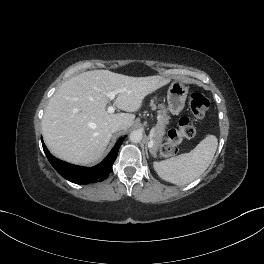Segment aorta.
<instances>
[{"instance_id":"aorta-1","label":"aorta","mask_w":264,"mask_h":264,"mask_svg":"<svg viewBox=\"0 0 264 264\" xmlns=\"http://www.w3.org/2000/svg\"><path fill=\"white\" fill-rule=\"evenodd\" d=\"M129 139L132 143H139L142 140V132L140 130H134L130 133Z\"/></svg>"}]
</instances>
